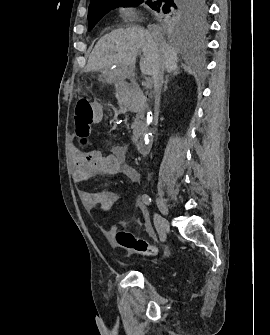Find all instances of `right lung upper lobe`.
<instances>
[{
  "instance_id": "cb5924a9",
  "label": "right lung upper lobe",
  "mask_w": 270,
  "mask_h": 335,
  "mask_svg": "<svg viewBox=\"0 0 270 335\" xmlns=\"http://www.w3.org/2000/svg\"><path fill=\"white\" fill-rule=\"evenodd\" d=\"M119 0H91L89 7L100 6L107 3L117 2Z\"/></svg>"
}]
</instances>
